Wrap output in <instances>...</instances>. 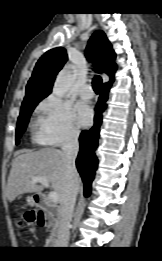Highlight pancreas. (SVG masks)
I'll use <instances>...</instances> for the list:
<instances>
[{"label": "pancreas", "instance_id": "obj_1", "mask_svg": "<svg viewBox=\"0 0 162 261\" xmlns=\"http://www.w3.org/2000/svg\"><path fill=\"white\" fill-rule=\"evenodd\" d=\"M57 234H58L57 231L53 229L51 234H50V237H56Z\"/></svg>", "mask_w": 162, "mask_h": 261}]
</instances>
